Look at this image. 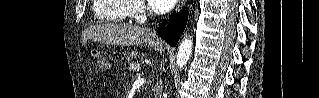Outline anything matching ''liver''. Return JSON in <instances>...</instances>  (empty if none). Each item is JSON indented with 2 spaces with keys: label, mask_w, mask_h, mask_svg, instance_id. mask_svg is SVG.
Masks as SVG:
<instances>
[{
  "label": "liver",
  "mask_w": 319,
  "mask_h": 98,
  "mask_svg": "<svg viewBox=\"0 0 319 98\" xmlns=\"http://www.w3.org/2000/svg\"><path fill=\"white\" fill-rule=\"evenodd\" d=\"M84 40H93L103 44L120 46H136L141 43L148 45L154 50H162V42L146 28L122 25V24H101L91 26L82 34Z\"/></svg>",
  "instance_id": "1"
}]
</instances>
